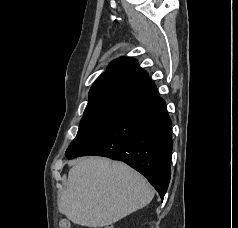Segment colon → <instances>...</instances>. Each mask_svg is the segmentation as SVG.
Segmentation results:
<instances>
[{
  "label": "colon",
  "mask_w": 238,
  "mask_h": 228,
  "mask_svg": "<svg viewBox=\"0 0 238 228\" xmlns=\"http://www.w3.org/2000/svg\"><path fill=\"white\" fill-rule=\"evenodd\" d=\"M60 228H70V223L66 219H63L60 222ZM98 228H101V227H98ZM102 228H114V227L112 225H107V226L102 227Z\"/></svg>",
  "instance_id": "5ec220e1"
}]
</instances>
